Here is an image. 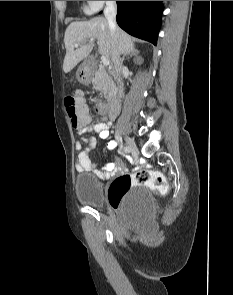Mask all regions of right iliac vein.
I'll use <instances>...</instances> for the list:
<instances>
[{"instance_id": "right-iliac-vein-1", "label": "right iliac vein", "mask_w": 233, "mask_h": 295, "mask_svg": "<svg viewBox=\"0 0 233 295\" xmlns=\"http://www.w3.org/2000/svg\"><path fill=\"white\" fill-rule=\"evenodd\" d=\"M126 147H128V153H131L132 155L136 154V145L134 141L130 137L125 138Z\"/></svg>"}]
</instances>
